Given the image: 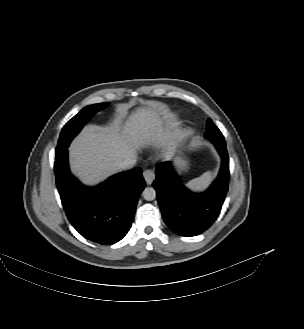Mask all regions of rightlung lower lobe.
Returning <instances> with one entry per match:
<instances>
[{
    "label": "right lung lower lobe",
    "mask_w": 304,
    "mask_h": 329,
    "mask_svg": "<svg viewBox=\"0 0 304 329\" xmlns=\"http://www.w3.org/2000/svg\"><path fill=\"white\" fill-rule=\"evenodd\" d=\"M56 185L66 215L86 239L103 245L121 240L129 231L138 197L145 187L139 167L110 177L90 188L81 184L68 167V150L55 156Z\"/></svg>",
    "instance_id": "right-lung-lower-lobe-1"
}]
</instances>
